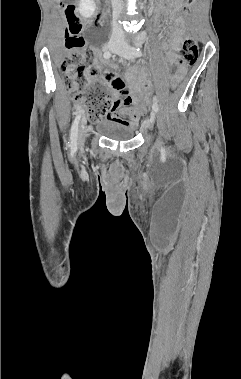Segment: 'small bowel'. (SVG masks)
Listing matches in <instances>:
<instances>
[{
	"label": "small bowel",
	"instance_id": "c3829d8e",
	"mask_svg": "<svg viewBox=\"0 0 241 379\" xmlns=\"http://www.w3.org/2000/svg\"><path fill=\"white\" fill-rule=\"evenodd\" d=\"M181 0H165L164 7L167 9L173 19V25L168 31L167 40L163 43V48L167 50L166 58L170 64L177 63V50L179 49L181 38L185 30V21L180 15ZM97 70L101 71L99 65L96 66ZM184 73V68L179 67L177 75L180 77ZM117 78L123 82L124 81L118 77H114L109 74H102V79L104 84L112 88V97L115 103L114 109L109 114L112 119L118 120L128 125H136L139 123V116L144 112L145 103L141 101L140 93L144 92L145 88L151 87L150 81L148 79V71L146 68H141L139 70H131L126 75V82L130 89L126 95L121 94V92L116 89L113 85V79ZM89 82H94L95 79L92 74L88 75ZM123 95V98H119L118 94Z\"/></svg>",
	"mask_w": 241,
	"mask_h": 379
}]
</instances>
